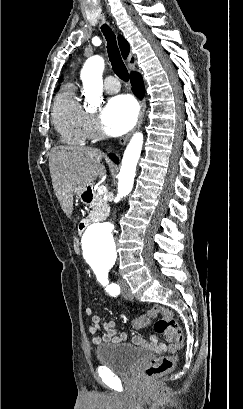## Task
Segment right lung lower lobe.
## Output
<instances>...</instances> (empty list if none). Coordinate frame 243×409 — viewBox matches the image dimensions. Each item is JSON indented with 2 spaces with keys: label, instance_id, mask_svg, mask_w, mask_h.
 <instances>
[{
  "label": "right lung lower lobe",
  "instance_id": "1",
  "mask_svg": "<svg viewBox=\"0 0 243 409\" xmlns=\"http://www.w3.org/2000/svg\"><path fill=\"white\" fill-rule=\"evenodd\" d=\"M130 79L133 87V92L138 98H142L144 96V85L141 75L137 72H133L130 76ZM110 158L115 163H118V158L116 156L110 155Z\"/></svg>",
  "mask_w": 243,
  "mask_h": 409
}]
</instances>
